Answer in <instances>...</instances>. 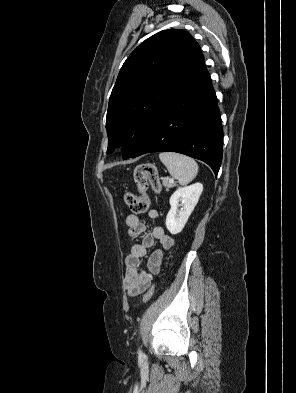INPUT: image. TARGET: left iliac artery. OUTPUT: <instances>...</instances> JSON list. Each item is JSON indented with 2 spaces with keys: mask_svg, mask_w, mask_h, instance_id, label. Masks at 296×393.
<instances>
[{
  "mask_svg": "<svg viewBox=\"0 0 296 393\" xmlns=\"http://www.w3.org/2000/svg\"><path fill=\"white\" fill-rule=\"evenodd\" d=\"M138 352H139V354H142V352H141V350H140V349H139V351H138Z\"/></svg>",
  "mask_w": 296,
  "mask_h": 393,
  "instance_id": "left-iliac-artery-1",
  "label": "left iliac artery"
}]
</instances>
